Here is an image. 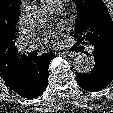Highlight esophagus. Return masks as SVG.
I'll return each instance as SVG.
<instances>
[{"label":"esophagus","instance_id":"1","mask_svg":"<svg viewBox=\"0 0 113 113\" xmlns=\"http://www.w3.org/2000/svg\"><path fill=\"white\" fill-rule=\"evenodd\" d=\"M63 53L69 57H74L77 55V53L74 51H64Z\"/></svg>","mask_w":113,"mask_h":113}]
</instances>
